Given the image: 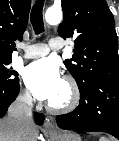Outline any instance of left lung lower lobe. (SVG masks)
Instances as JSON below:
<instances>
[{
	"mask_svg": "<svg viewBox=\"0 0 119 141\" xmlns=\"http://www.w3.org/2000/svg\"><path fill=\"white\" fill-rule=\"evenodd\" d=\"M56 121L65 130L101 131L119 139V77H101L80 91L79 106Z\"/></svg>",
	"mask_w": 119,
	"mask_h": 141,
	"instance_id": "1",
	"label": "left lung lower lobe"
}]
</instances>
